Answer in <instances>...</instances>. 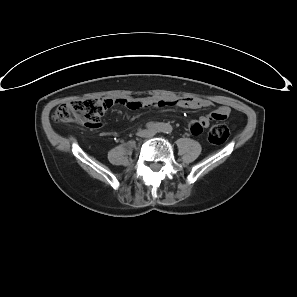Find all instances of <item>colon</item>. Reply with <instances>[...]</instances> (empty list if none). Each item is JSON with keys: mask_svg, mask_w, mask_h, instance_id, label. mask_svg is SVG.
<instances>
[{"mask_svg": "<svg viewBox=\"0 0 297 297\" xmlns=\"http://www.w3.org/2000/svg\"><path fill=\"white\" fill-rule=\"evenodd\" d=\"M111 105V100L103 98L74 100L58 106L53 114V119L58 123H85L86 121L101 122L102 117ZM229 135V127L217 124L210 128L208 132V140L212 144L220 145L226 142Z\"/></svg>", "mask_w": 297, "mask_h": 297, "instance_id": "obj_1", "label": "colon"}]
</instances>
